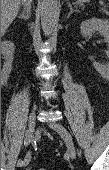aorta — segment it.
Returning a JSON list of instances; mask_svg holds the SVG:
<instances>
[{
	"instance_id": "1",
	"label": "aorta",
	"mask_w": 109,
	"mask_h": 170,
	"mask_svg": "<svg viewBox=\"0 0 109 170\" xmlns=\"http://www.w3.org/2000/svg\"><path fill=\"white\" fill-rule=\"evenodd\" d=\"M58 18V0H42L41 27L45 36L51 35Z\"/></svg>"
}]
</instances>
